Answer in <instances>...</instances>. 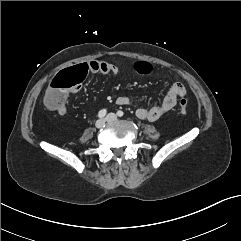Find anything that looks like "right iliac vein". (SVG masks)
Returning a JSON list of instances; mask_svg holds the SVG:
<instances>
[{"label":"right iliac vein","instance_id":"63e3f726","mask_svg":"<svg viewBox=\"0 0 241 241\" xmlns=\"http://www.w3.org/2000/svg\"><path fill=\"white\" fill-rule=\"evenodd\" d=\"M105 125V120L104 119H99L96 121L95 126L97 128H102Z\"/></svg>","mask_w":241,"mask_h":241}]
</instances>
